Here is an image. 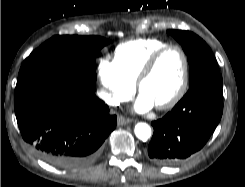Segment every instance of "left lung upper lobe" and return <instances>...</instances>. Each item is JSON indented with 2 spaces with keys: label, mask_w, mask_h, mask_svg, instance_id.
I'll return each mask as SVG.
<instances>
[{
  "label": "left lung upper lobe",
  "mask_w": 245,
  "mask_h": 187,
  "mask_svg": "<svg viewBox=\"0 0 245 187\" xmlns=\"http://www.w3.org/2000/svg\"><path fill=\"white\" fill-rule=\"evenodd\" d=\"M184 49L190 67V86L209 76L219 74L217 61L208 45L196 34L168 30Z\"/></svg>",
  "instance_id": "5c2ea615"
}]
</instances>
